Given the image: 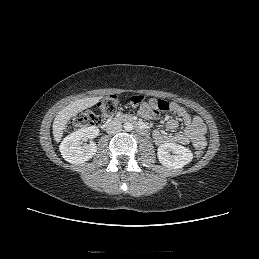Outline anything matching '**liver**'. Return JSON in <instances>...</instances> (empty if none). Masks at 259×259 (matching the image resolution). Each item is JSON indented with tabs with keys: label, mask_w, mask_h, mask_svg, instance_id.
<instances>
[{
	"label": "liver",
	"mask_w": 259,
	"mask_h": 259,
	"mask_svg": "<svg viewBox=\"0 0 259 259\" xmlns=\"http://www.w3.org/2000/svg\"><path fill=\"white\" fill-rule=\"evenodd\" d=\"M102 97H87L75 100L58 112L53 121V136L56 142H60L63 130L68 121L79 112L97 104Z\"/></svg>",
	"instance_id": "6515ba94"
}]
</instances>
